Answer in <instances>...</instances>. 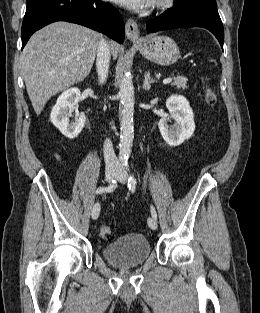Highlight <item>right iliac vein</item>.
Instances as JSON below:
<instances>
[{
  "instance_id": "obj_1",
  "label": "right iliac vein",
  "mask_w": 260,
  "mask_h": 313,
  "mask_svg": "<svg viewBox=\"0 0 260 313\" xmlns=\"http://www.w3.org/2000/svg\"><path fill=\"white\" fill-rule=\"evenodd\" d=\"M115 174H116L115 168H107L106 172H105L106 182L110 183L113 180ZM99 213H100V204L98 202H96L92 208V212H91L92 218L97 219L99 216Z\"/></svg>"
}]
</instances>
